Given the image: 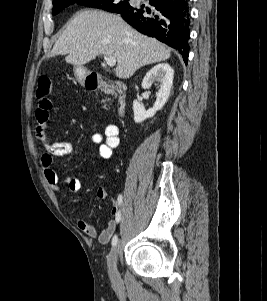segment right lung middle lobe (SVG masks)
Wrapping results in <instances>:
<instances>
[{
    "label": "right lung middle lobe",
    "mask_w": 267,
    "mask_h": 301,
    "mask_svg": "<svg viewBox=\"0 0 267 301\" xmlns=\"http://www.w3.org/2000/svg\"><path fill=\"white\" fill-rule=\"evenodd\" d=\"M128 1L129 0H53V15H56L61 10L74 3L119 13L131 7Z\"/></svg>",
    "instance_id": "obj_1"
}]
</instances>
